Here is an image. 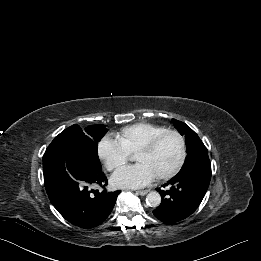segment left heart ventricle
<instances>
[{"mask_svg": "<svg viewBox=\"0 0 261 261\" xmlns=\"http://www.w3.org/2000/svg\"><path fill=\"white\" fill-rule=\"evenodd\" d=\"M180 155V143L176 136L167 135L149 153H135L138 163L148 166L154 174H163L174 167Z\"/></svg>", "mask_w": 261, "mask_h": 261, "instance_id": "left-heart-ventricle-1", "label": "left heart ventricle"}]
</instances>
